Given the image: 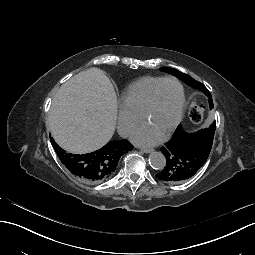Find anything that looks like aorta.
<instances>
[{
  "mask_svg": "<svg viewBox=\"0 0 255 255\" xmlns=\"http://www.w3.org/2000/svg\"><path fill=\"white\" fill-rule=\"evenodd\" d=\"M149 164L155 170H162L166 165L165 156L161 152H151L149 155Z\"/></svg>",
  "mask_w": 255,
  "mask_h": 255,
  "instance_id": "aorta-1",
  "label": "aorta"
}]
</instances>
